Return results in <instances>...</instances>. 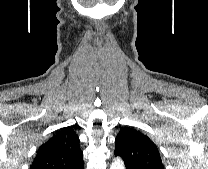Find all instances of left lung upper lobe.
Instances as JSON below:
<instances>
[{"instance_id":"1","label":"left lung upper lobe","mask_w":208,"mask_h":169,"mask_svg":"<svg viewBox=\"0 0 208 169\" xmlns=\"http://www.w3.org/2000/svg\"><path fill=\"white\" fill-rule=\"evenodd\" d=\"M114 153L132 169H164L156 145L141 132L124 127L115 139Z\"/></svg>"}]
</instances>
